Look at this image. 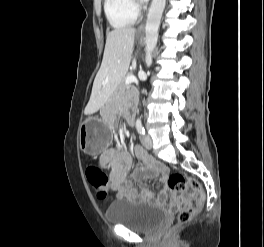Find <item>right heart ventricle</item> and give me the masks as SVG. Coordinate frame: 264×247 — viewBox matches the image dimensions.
<instances>
[{
	"label": "right heart ventricle",
	"mask_w": 264,
	"mask_h": 247,
	"mask_svg": "<svg viewBox=\"0 0 264 247\" xmlns=\"http://www.w3.org/2000/svg\"><path fill=\"white\" fill-rule=\"evenodd\" d=\"M104 9L110 24L117 29L131 26L138 19V13L129 0H105Z\"/></svg>",
	"instance_id": "e07e8e85"
}]
</instances>
